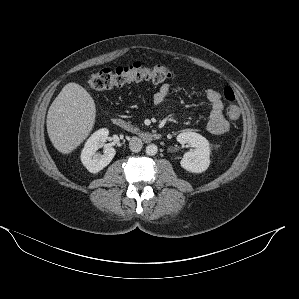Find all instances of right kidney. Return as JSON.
I'll return each mask as SVG.
<instances>
[{
  "mask_svg": "<svg viewBox=\"0 0 299 299\" xmlns=\"http://www.w3.org/2000/svg\"><path fill=\"white\" fill-rule=\"evenodd\" d=\"M109 131L106 128L99 129L87 140L81 152V161L91 173H98L105 168L114 158L116 151L113 147L104 146V153L96 151L106 142Z\"/></svg>",
  "mask_w": 299,
  "mask_h": 299,
  "instance_id": "obj_1",
  "label": "right kidney"
}]
</instances>
